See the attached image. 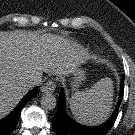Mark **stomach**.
Masks as SVG:
<instances>
[{
	"label": "stomach",
	"instance_id": "0dacf381",
	"mask_svg": "<svg viewBox=\"0 0 135 135\" xmlns=\"http://www.w3.org/2000/svg\"><path fill=\"white\" fill-rule=\"evenodd\" d=\"M86 80L85 68L78 65L72 72L70 78L71 91L73 96L78 92L80 85Z\"/></svg>",
	"mask_w": 135,
	"mask_h": 135
}]
</instances>
